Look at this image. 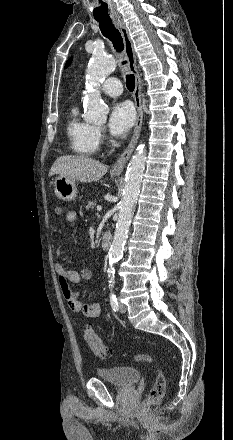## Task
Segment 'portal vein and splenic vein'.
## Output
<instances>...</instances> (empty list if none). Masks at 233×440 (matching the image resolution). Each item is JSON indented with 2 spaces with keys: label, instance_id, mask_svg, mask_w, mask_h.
<instances>
[{
  "label": "portal vein and splenic vein",
  "instance_id": "obj_1",
  "mask_svg": "<svg viewBox=\"0 0 233 440\" xmlns=\"http://www.w3.org/2000/svg\"><path fill=\"white\" fill-rule=\"evenodd\" d=\"M97 210L98 211H101L102 210V207L99 205V206H97Z\"/></svg>",
  "mask_w": 233,
  "mask_h": 440
}]
</instances>
